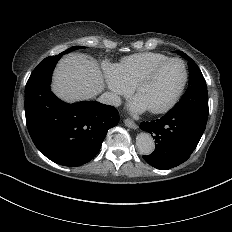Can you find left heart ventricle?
<instances>
[{"mask_svg":"<svg viewBox=\"0 0 232 232\" xmlns=\"http://www.w3.org/2000/svg\"><path fill=\"white\" fill-rule=\"evenodd\" d=\"M183 79L182 65L177 62L168 63L139 88L136 97L149 110L161 108L173 98L182 85Z\"/></svg>","mask_w":232,"mask_h":232,"instance_id":"b2bd125f","label":"left heart ventricle"}]
</instances>
